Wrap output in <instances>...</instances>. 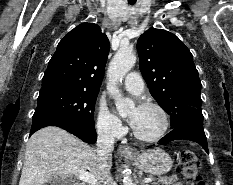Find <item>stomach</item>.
Returning <instances> with one entry per match:
<instances>
[{
    "mask_svg": "<svg viewBox=\"0 0 233 185\" xmlns=\"http://www.w3.org/2000/svg\"><path fill=\"white\" fill-rule=\"evenodd\" d=\"M125 157L139 169L153 175H162L169 172L173 164L169 154L158 147Z\"/></svg>",
    "mask_w": 233,
    "mask_h": 185,
    "instance_id": "0dacf381",
    "label": "stomach"
}]
</instances>
